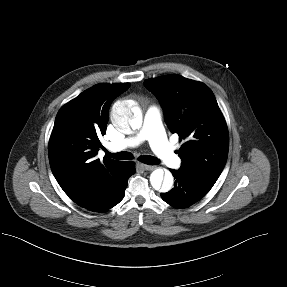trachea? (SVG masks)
<instances>
[{
	"label": "trachea",
	"mask_w": 287,
	"mask_h": 287,
	"mask_svg": "<svg viewBox=\"0 0 287 287\" xmlns=\"http://www.w3.org/2000/svg\"><path fill=\"white\" fill-rule=\"evenodd\" d=\"M106 153L111 158L117 159V160H131L134 158L131 153L125 152V151L118 152V153H110V152H106ZM138 160L147 165H157L160 163V161L156 157H153L150 155L140 156Z\"/></svg>",
	"instance_id": "trachea-1"
}]
</instances>
